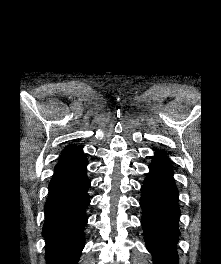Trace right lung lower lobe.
<instances>
[{"instance_id":"obj_1","label":"right lung lower lobe","mask_w":221,"mask_h":264,"mask_svg":"<svg viewBox=\"0 0 221 264\" xmlns=\"http://www.w3.org/2000/svg\"><path fill=\"white\" fill-rule=\"evenodd\" d=\"M87 158L83 154L59 160L49 183L42 234L46 264H76L85 245Z\"/></svg>"}]
</instances>
